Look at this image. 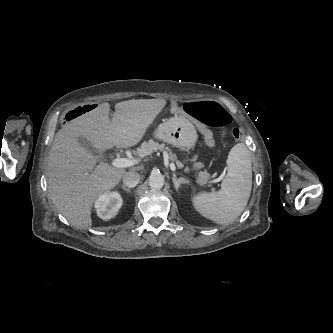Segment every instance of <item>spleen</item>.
Listing matches in <instances>:
<instances>
[{"label":"spleen","instance_id":"1","mask_svg":"<svg viewBox=\"0 0 333 333\" xmlns=\"http://www.w3.org/2000/svg\"><path fill=\"white\" fill-rule=\"evenodd\" d=\"M251 188V153L244 143H238L229 152L221 189L199 193L193 198V206L203 217L217 224H229L243 212Z\"/></svg>","mask_w":333,"mask_h":333}]
</instances>
